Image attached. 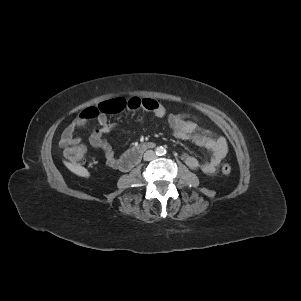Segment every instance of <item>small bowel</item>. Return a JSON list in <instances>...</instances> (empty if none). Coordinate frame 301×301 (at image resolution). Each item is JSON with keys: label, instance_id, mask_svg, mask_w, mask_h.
Here are the masks:
<instances>
[{"label": "small bowel", "instance_id": "1", "mask_svg": "<svg viewBox=\"0 0 301 301\" xmlns=\"http://www.w3.org/2000/svg\"><path fill=\"white\" fill-rule=\"evenodd\" d=\"M154 113L158 118L167 119L172 134L176 138L191 141L195 145L211 151L212 155L210 159L206 161H199L189 153H183L182 159L188 167L200 170L206 174H214L217 172L228 151L227 141L223 136L216 135L212 131L202 128L198 123L181 120V113H167L163 106L159 111ZM87 121L88 118L80 113L62 132L59 140L60 145L67 146L80 141V137L76 134V131L83 128L87 124ZM96 123L97 127L89 136L91 146L103 152L106 163L110 167L123 170V156H118L105 138L115 127V124L109 123L103 115L96 117Z\"/></svg>", "mask_w": 301, "mask_h": 301}]
</instances>
